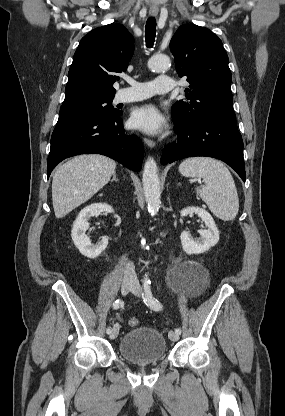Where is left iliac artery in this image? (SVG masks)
I'll return each mask as SVG.
<instances>
[{
	"label": "left iliac artery",
	"mask_w": 285,
	"mask_h": 416,
	"mask_svg": "<svg viewBox=\"0 0 285 416\" xmlns=\"http://www.w3.org/2000/svg\"><path fill=\"white\" fill-rule=\"evenodd\" d=\"M143 287H144V294L143 295H144L145 304L147 306H149L151 309L155 310V311L161 310L163 308V306L159 302V300H157L155 297H153L152 290H151V281L148 277H146L144 279ZM175 333L181 334V329L176 328Z\"/></svg>",
	"instance_id": "44dca946"
}]
</instances>
